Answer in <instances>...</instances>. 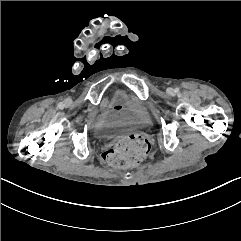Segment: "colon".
<instances>
[{"instance_id":"1","label":"colon","mask_w":241,"mask_h":241,"mask_svg":"<svg viewBox=\"0 0 241 241\" xmlns=\"http://www.w3.org/2000/svg\"><path fill=\"white\" fill-rule=\"evenodd\" d=\"M149 141L138 134H130L117 141L114 147L104 149L100 160L112 167H129L143 161L150 153Z\"/></svg>"}]
</instances>
